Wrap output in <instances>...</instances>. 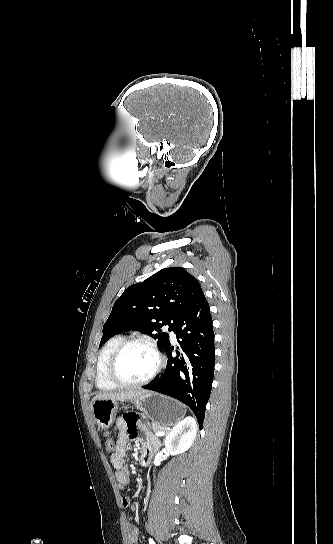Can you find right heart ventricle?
<instances>
[{
	"instance_id": "e07e8e85",
	"label": "right heart ventricle",
	"mask_w": 333,
	"mask_h": 544,
	"mask_svg": "<svg viewBox=\"0 0 333 544\" xmlns=\"http://www.w3.org/2000/svg\"><path fill=\"white\" fill-rule=\"evenodd\" d=\"M125 340L123 335H115L109 338L101 347L96 361L95 384L102 391H112L118 386L107 377V365L114 350Z\"/></svg>"
}]
</instances>
